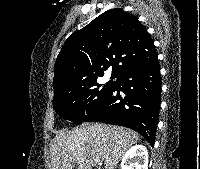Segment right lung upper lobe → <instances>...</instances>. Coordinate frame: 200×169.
<instances>
[{"instance_id":"right-lung-upper-lobe-1","label":"right lung upper lobe","mask_w":200,"mask_h":169,"mask_svg":"<svg viewBox=\"0 0 200 169\" xmlns=\"http://www.w3.org/2000/svg\"><path fill=\"white\" fill-rule=\"evenodd\" d=\"M157 58L153 41L137 17L121 8L108 10L73 33L55 64L54 99L72 94L103 76L111 78Z\"/></svg>"}]
</instances>
